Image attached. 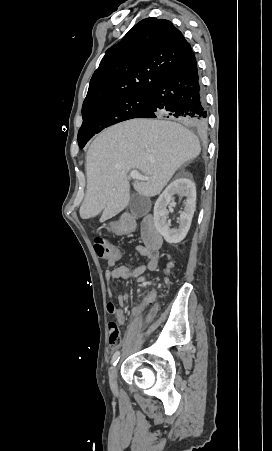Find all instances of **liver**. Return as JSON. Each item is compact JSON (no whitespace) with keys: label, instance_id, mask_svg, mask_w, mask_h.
<instances>
[{"label":"liver","instance_id":"6515ba94","mask_svg":"<svg viewBox=\"0 0 272 451\" xmlns=\"http://www.w3.org/2000/svg\"><path fill=\"white\" fill-rule=\"evenodd\" d=\"M200 142L190 130L167 120H127L98 134L86 160L87 190L80 208L83 220H110L130 202L128 172L140 170L148 180L133 182L141 196H157L176 170L197 158Z\"/></svg>","mask_w":272,"mask_h":451}]
</instances>
